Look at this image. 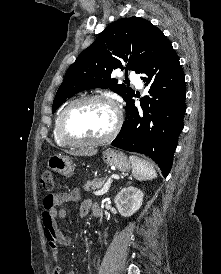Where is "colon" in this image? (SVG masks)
Returning a JSON list of instances; mask_svg holds the SVG:
<instances>
[{
	"mask_svg": "<svg viewBox=\"0 0 221 274\" xmlns=\"http://www.w3.org/2000/svg\"><path fill=\"white\" fill-rule=\"evenodd\" d=\"M41 185L44 188V190L46 191H50L55 184V175L52 171H45L43 172V174L41 175Z\"/></svg>",
	"mask_w": 221,
	"mask_h": 274,
	"instance_id": "5ec220e1",
	"label": "colon"
}]
</instances>
